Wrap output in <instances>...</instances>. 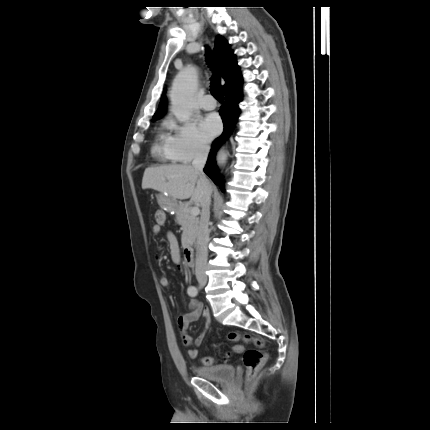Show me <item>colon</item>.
I'll list each match as a JSON object with an SVG mask.
<instances>
[{
    "label": "colon",
    "instance_id": "1",
    "mask_svg": "<svg viewBox=\"0 0 430 430\" xmlns=\"http://www.w3.org/2000/svg\"><path fill=\"white\" fill-rule=\"evenodd\" d=\"M155 221L157 225H161L165 220V215L161 210H157L154 214ZM227 339L231 342H236L239 340H243L245 343H253L255 348L247 349L243 352V364L246 368V377L248 381H252L264 365L267 355L265 351L262 349L263 341L253 336L252 334L245 333L240 334L235 331H231L227 334ZM242 350L237 348H233V352L239 353ZM216 362V359L213 357H204L202 359V363L204 365H213Z\"/></svg>",
    "mask_w": 430,
    "mask_h": 430
}]
</instances>
